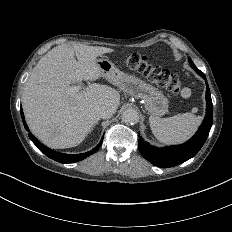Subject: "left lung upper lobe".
I'll use <instances>...</instances> for the list:
<instances>
[{
    "label": "left lung upper lobe",
    "mask_w": 232,
    "mask_h": 232,
    "mask_svg": "<svg viewBox=\"0 0 232 232\" xmlns=\"http://www.w3.org/2000/svg\"><path fill=\"white\" fill-rule=\"evenodd\" d=\"M189 63L191 64V67L197 72L200 73L201 71L194 65V63L192 62V60L189 58Z\"/></svg>",
    "instance_id": "obj_1"
}]
</instances>
